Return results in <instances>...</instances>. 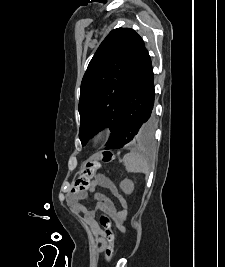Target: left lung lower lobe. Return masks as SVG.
Returning a JSON list of instances; mask_svg holds the SVG:
<instances>
[{"label": "left lung lower lobe", "instance_id": "0a47b994", "mask_svg": "<svg viewBox=\"0 0 225 267\" xmlns=\"http://www.w3.org/2000/svg\"><path fill=\"white\" fill-rule=\"evenodd\" d=\"M154 98L152 64L148 51L144 48L123 103L117 131L105 149H117L132 144L142 124L145 138L152 135L155 128Z\"/></svg>", "mask_w": 225, "mask_h": 267}]
</instances>
